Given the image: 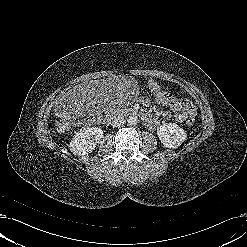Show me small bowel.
Segmentation results:
<instances>
[{"label": "small bowel", "instance_id": "1", "mask_svg": "<svg viewBox=\"0 0 247 247\" xmlns=\"http://www.w3.org/2000/svg\"><path fill=\"white\" fill-rule=\"evenodd\" d=\"M149 88L154 95L158 93H167L163 91L153 80L149 81ZM142 101L144 104H147L148 102L146 98H144ZM158 104L162 106H169L171 109V112H163L161 114L163 118H174L178 122H184L188 117L196 116L195 107L185 99H176L171 95V100L169 102H160ZM146 122L150 128H155L157 126L156 119L151 116L147 117Z\"/></svg>", "mask_w": 247, "mask_h": 247}]
</instances>
